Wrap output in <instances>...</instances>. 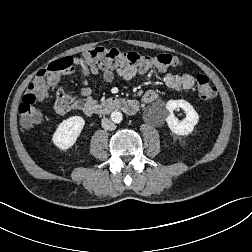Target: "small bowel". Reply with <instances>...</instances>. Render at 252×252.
Returning a JSON list of instances; mask_svg holds the SVG:
<instances>
[{
	"mask_svg": "<svg viewBox=\"0 0 252 252\" xmlns=\"http://www.w3.org/2000/svg\"><path fill=\"white\" fill-rule=\"evenodd\" d=\"M80 68V73L84 78L83 87L80 90L78 96H72L68 94L62 87H58L55 93L54 109L59 114H66L73 109H81L91 103H95L96 98L93 89L88 85L87 79L91 75H97L99 73V68L90 64L83 58H72V66L64 72V74H72L75 71V67ZM117 74L120 78L124 80H131L136 74L135 69H122L117 70ZM102 77L104 81L111 83L115 79L114 72L109 69H103ZM164 84L173 90L184 89L191 90L194 87V77L189 73L175 74L167 72L163 75ZM158 94L155 90H147L143 95V101L145 103H152L156 101Z\"/></svg>",
	"mask_w": 252,
	"mask_h": 252,
	"instance_id": "small-bowel-1",
	"label": "small bowel"
}]
</instances>
